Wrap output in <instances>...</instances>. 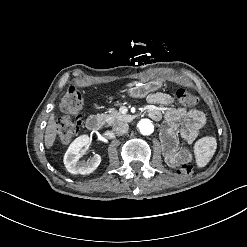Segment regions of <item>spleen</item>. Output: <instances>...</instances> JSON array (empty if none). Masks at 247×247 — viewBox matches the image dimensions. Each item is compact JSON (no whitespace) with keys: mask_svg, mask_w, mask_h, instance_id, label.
<instances>
[{"mask_svg":"<svg viewBox=\"0 0 247 247\" xmlns=\"http://www.w3.org/2000/svg\"><path fill=\"white\" fill-rule=\"evenodd\" d=\"M204 148L203 151H201L200 147H195L194 152H195V162L196 166L199 169H202L205 167L208 162L210 161V153L212 152V146L217 145L216 138L214 136H207L204 137Z\"/></svg>","mask_w":247,"mask_h":247,"instance_id":"spleen-1","label":"spleen"}]
</instances>
